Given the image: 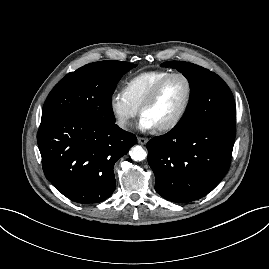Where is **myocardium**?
Listing matches in <instances>:
<instances>
[{
	"label": "myocardium",
	"mask_w": 269,
	"mask_h": 269,
	"mask_svg": "<svg viewBox=\"0 0 269 269\" xmlns=\"http://www.w3.org/2000/svg\"><path fill=\"white\" fill-rule=\"evenodd\" d=\"M173 77H181L185 80V82L187 84V98H186L185 104L182 107L181 111L177 114V116L173 120H171L167 124L155 127L156 130L159 132H167V131L174 129L175 127H177L181 123V121L183 120V118L187 114V112L190 108L192 99H193V84H192L191 79L186 74H184L182 72H172V73L168 74L167 76L162 78L152 88V90L150 91V93L148 94V96L146 97V99L144 100V102L142 103V105L139 108L140 115H143V112L156 101L161 89L166 84V82Z\"/></svg>",
	"instance_id": "f54148a6"
}]
</instances>
